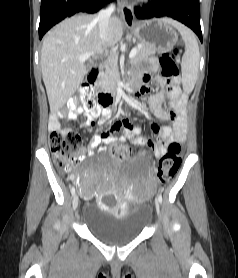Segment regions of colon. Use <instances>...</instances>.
<instances>
[{"instance_id": "colon-1", "label": "colon", "mask_w": 238, "mask_h": 278, "mask_svg": "<svg viewBox=\"0 0 238 278\" xmlns=\"http://www.w3.org/2000/svg\"><path fill=\"white\" fill-rule=\"evenodd\" d=\"M177 55L178 51L175 50L172 53H164L160 57L161 74L170 82L176 81L179 75ZM69 106L76 110L94 112L97 104L93 97L92 87L87 83L82 84L77 94L69 100ZM81 144L80 136L71 130H53L50 133V150L55 164L60 168L70 170L76 165V153ZM110 151L118 159H123L129 155V149L122 144H113ZM181 159L180 145L177 142L170 143L158 163L157 176L161 183L166 184L171 181L180 167Z\"/></svg>"}]
</instances>
